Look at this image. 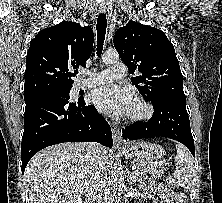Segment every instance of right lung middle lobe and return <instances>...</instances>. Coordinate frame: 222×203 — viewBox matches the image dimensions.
<instances>
[{"instance_id":"1","label":"right lung middle lobe","mask_w":222,"mask_h":203,"mask_svg":"<svg viewBox=\"0 0 222 203\" xmlns=\"http://www.w3.org/2000/svg\"><path fill=\"white\" fill-rule=\"evenodd\" d=\"M72 86H65V87H56V88H50V89H44L39 90L35 92L30 93H24V100L25 102L34 99V98H40L45 96H54V95H60L64 96L66 98H69V92L71 90Z\"/></svg>"}]
</instances>
